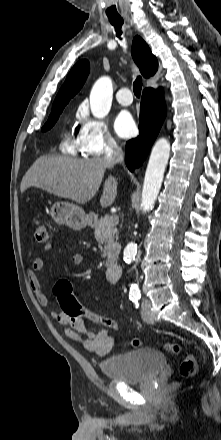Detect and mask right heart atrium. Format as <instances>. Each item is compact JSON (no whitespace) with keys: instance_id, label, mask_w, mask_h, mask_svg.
Returning a JSON list of instances; mask_svg holds the SVG:
<instances>
[{"instance_id":"obj_1","label":"right heart atrium","mask_w":221,"mask_h":440,"mask_svg":"<svg viewBox=\"0 0 221 440\" xmlns=\"http://www.w3.org/2000/svg\"><path fill=\"white\" fill-rule=\"evenodd\" d=\"M77 117L80 121L78 137L85 154L101 156L119 148L116 138L104 120L92 117L84 107L79 109Z\"/></svg>"}]
</instances>
